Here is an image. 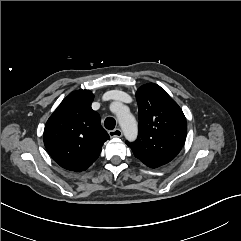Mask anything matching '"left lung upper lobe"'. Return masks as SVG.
<instances>
[{
    "label": "left lung upper lobe",
    "instance_id": "left-lung-upper-lobe-1",
    "mask_svg": "<svg viewBox=\"0 0 241 241\" xmlns=\"http://www.w3.org/2000/svg\"><path fill=\"white\" fill-rule=\"evenodd\" d=\"M136 99L138 137L134 143L126 144L145 165L157 168L180 152L187 134L186 118L178 104L157 84L141 86Z\"/></svg>",
    "mask_w": 241,
    "mask_h": 241
}]
</instances>
